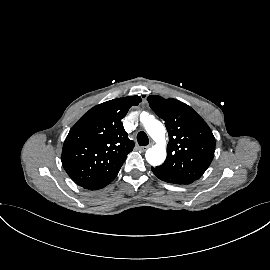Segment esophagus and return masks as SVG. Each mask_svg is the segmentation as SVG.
I'll list each match as a JSON object with an SVG mask.
<instances>
[{"instance_id":"esophagus-1","label":"esophagus","mask_w":270,"mask_h":270,"mask_svg":"<svg viewBox=\"0 0 270 270\" xmlns=\"http://www.w3.org/2000/svg\"><path fill=\"white\" fill-rule=\"evenodd\" d=\"M148 147H149V145L148 146H142V147H139V150L141 152H144V151H146L148 149Z\"/></svg>"}]
</instances>
